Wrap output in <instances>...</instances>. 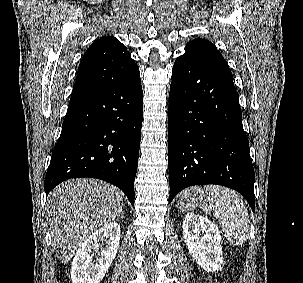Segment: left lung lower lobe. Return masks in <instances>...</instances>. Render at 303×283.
Returning <instances> with one entry per match:
<instances>
[{
  "instance_id": "0a47b994",
  "label": "left lung lower lobe",
  "mask_w": 303,
  "mask_h": 283,
  "mask_svg": "<svg viewBox=\"0 0 303 283\" xmlns=\"http://www.w3.org/2000/svg\"><path fill=\"white\" fill-rule=\"evenodd\" d=\"M169 202L184 188L237 190L254 211V169L238 93L220 53L183 54L169 93Z\"/></svg>"
}]
</instances>
